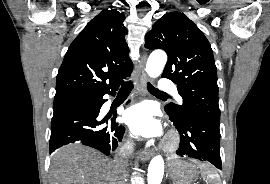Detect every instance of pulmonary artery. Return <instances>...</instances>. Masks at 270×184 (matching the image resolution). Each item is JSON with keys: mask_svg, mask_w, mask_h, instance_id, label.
Listing matches in <instances>:
<instances>
[{"mask_svg": "<svg viewBox=\"0 0 270 184\" xmlns=\"http://www.w3.org/2000/svg\"><path fill=\"white\" fill-rule=\"evenodd\" d=\"M159 88L164 93H173L177 95V89L173 82L168 79H163L159 83ZM177 98L181 100V97L177 95Z\"/></svg>", "mask_w": 270, "mask_h": 184, "instance_id": "obj_1", "label": "pulmonary artery"}]
</instances>
